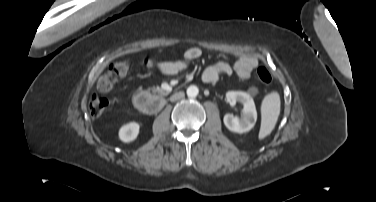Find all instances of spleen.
I'll return each mask as SVG.
<instances>
[{
    "instance_id": "spleen-1",
    "label": "spleen",
    "mask_w": 376,
    "mask_h": 202,
    "mask_svg": "<svg viewBox=\"0 0 376 202\" xmlns=\"http://www.w3.org/2000/svg\"><path fill=\"white\" fill-rule=\"evenodd\" d=\"M280 113V97L277 92L268 94L261 106V127L259 139L265 138L273 130Z\"/></svg>"
}]
</instances>
